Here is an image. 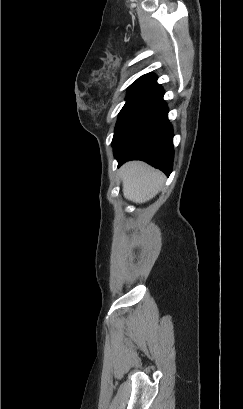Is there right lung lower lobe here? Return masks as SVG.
Masks as SVG:
<instances>
[{
  "instance_id": "1",
  "label": "right lung lower lobe",
  "mask_w": 243,
  "mask_h": 409,
  "mask_svg": "<svg viewBox=\"0 0 243 409\" xmlns=\"http://www.w3.org/2000/svg\"><path fill=\"white\" fill-rule=\"evenodd\" d=\"M164 91L158 87L131 115L112 141L118 166L143 160L170 175L173 166V129L169 123Z\"/></svg>"
}]
</instances>
